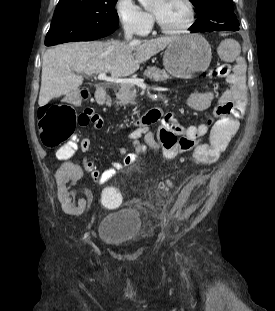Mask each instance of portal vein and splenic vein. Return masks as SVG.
I'll return each instance as SVG.
<instances>
[{
	"label": "portal vein and splenic vein",
	"mask_w": 275,
	"mask_h": 311,
	"mask_svg": "<svg viewBox=\"0 0 275 311\" xmlns=\"http://www.w3.org/2000/svg\"><path fill=\"white\" fill-rule=\"evenodd\" d=\"M101 81L109 82V83H115L120 85L125 84H132L137 85L143 89L146 88V85L144 84V81L142 79H136V78H123V77H109L106 73H100L97 77Z\"/></svg>",
	"instance_id": "1"
}]
</instances>
